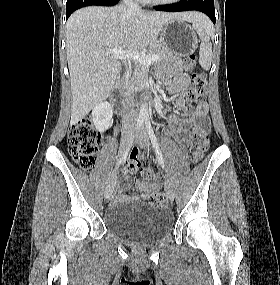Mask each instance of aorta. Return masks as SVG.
I'll use <instances>...</instances> for the list:
<instances>
[{
    "instance_id": "1",
    "label": "aorta",
    "mask_w": 280,
    "mask_h": 285,
    "mask_svg": "<svg viewBox=\"0 0 280 285\" xmlns=\"http://www.w3.org/2000/svg\"><path fill=\"white\" fill-rule=\"evenodd\" d=\"M148 115H149L148 105L146 102H143L140 107V116L146 118L148 117Z\"/></svg>"
}]
</instances>
